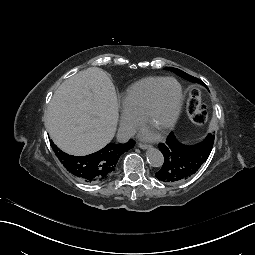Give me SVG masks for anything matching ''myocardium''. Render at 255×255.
Instances as JSON below:
<instances>
[{
  "mask_svg": "<svg viewBox=\"0 0 255 255\" xmlns=\"http://www.w3.org/2000/svg\"><path fill=\"white\" fill-rule=\"evenodd\" d=\"M169 82L176 84V86L178 88V98H177L175 110H174L170 120L165 125L163 132L160 134L161 138H165L174 129V127L176 126V124L178 122V119H179V116H180V113L182 110L183 90H182L181 84L176 79L166 78L153 90L150 100H149V103H148L146 109L144 110V112L142 113L141 117L139 118L140 126L144 125L145 121L152 115V113L155 109L160 90L166 83H169Z\"/></svg>",
  "mask_w": 255,
  "mask_h": 255,
  "instance_id": "1",
  "label": "myocardium"
}]
</instances>
